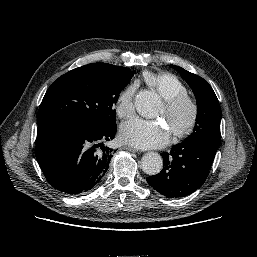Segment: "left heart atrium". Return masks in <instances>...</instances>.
Segmentation results:
<instances>
[{
	"mask_svg": "<svg viewBox=\"0 0 257 257\" xmlns=\"http://www.w3.org/2000/svg\"><path fill=\"white\" fill-rule=\"evenodd\" d=\"M120 139L138 148H157L166 145L170 132L160 121L134 118L120 127Z\"/></svg>",
	"mask_w": 257,
	"mask_h": 257,
	"instance_id": "39dd6f15",
	"label": "left heart atrium"
}]
</instances>
